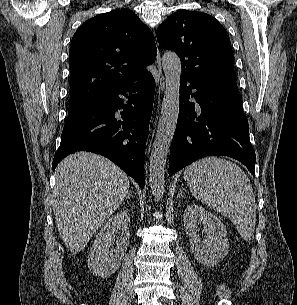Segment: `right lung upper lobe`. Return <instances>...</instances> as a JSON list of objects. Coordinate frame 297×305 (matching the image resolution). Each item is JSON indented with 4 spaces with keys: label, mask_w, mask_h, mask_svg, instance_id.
I'll return each instance as SVG.
<instances>
[{
    "label": "right lung upper lobe",
    "mask_w": 297,
    "mask_h": 305,
    "mask_svg": "<svg viewBox=\"0 0 297 305\" xmlns=\"http://www.w3.org/2000/svg\"><path fill=\"white\" fill-rule=\"evenodd\" d=\"M157 49L150 29L131 10H113L83 23L69 50L70 104L148 73Z\"/></svg>",
    "instance_id": "cb5924a9"
}]
</instances>
